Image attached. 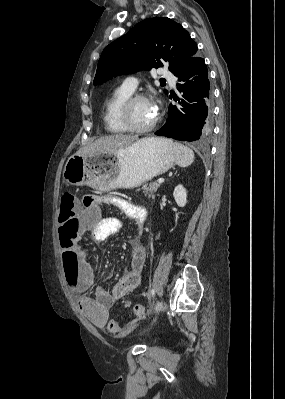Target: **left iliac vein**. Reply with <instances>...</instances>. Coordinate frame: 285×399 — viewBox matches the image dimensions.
Here are the masks:
<instances>
[{"instance_id":"left-iliac-vein-1","label":"left iliac vein","mask_w":285,"mask_h":399,"mask_svg":"<svg viewBox=\"0 0 285 399\" xmlns=\"http://www.w3.org/2000/svg\"><path fill=\"white\" fill-rule=\"evenodd\" d=\"M164 306H165V303L163 300L158 301L153 310L154 314H156L157 312L162 310L164 308Z\"/></svg>"}]
</instances>
